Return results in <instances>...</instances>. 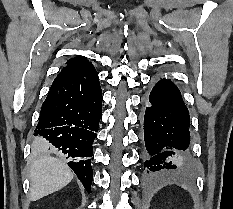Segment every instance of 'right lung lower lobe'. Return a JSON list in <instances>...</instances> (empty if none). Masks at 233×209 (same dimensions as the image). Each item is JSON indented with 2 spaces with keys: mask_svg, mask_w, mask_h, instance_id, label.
<instances>
[{
  "mask_svg": "<svg viewBox=\"0 0 233 209\" xmlns=\"http://www.w3.org/2000/svg\"><path fill=\"white\" fill-rule=\"evenodd\" d=\"M101 116L102 90L91 64L52 84L34 131L62 150L88 193L93 180L92 144Z\"/></svg>",
  "mask_w": 233,
  "mask_h": 209,
  "instance_id": "98d812e1",
  "label": "right lung lower lobe"
}]
</instances>
